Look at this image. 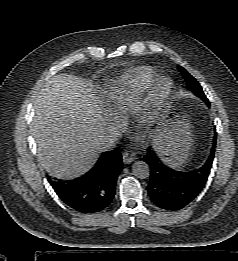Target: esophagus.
I'll list each match as a JSON object with an SVG mask.
<instances>
[{
  "instance_id": "esophagus-1",
  "label": "esophagus",
  "mask_w": 238,
  "mask_h": 261,
  "mask_svg": "<svg viewBox=\"0 0 238 261\" xmlns=\"http://www.w3.org/2000/svg\"><path fill=\"white\" fill-rule=\"evenodd\" d=\"M136 159V155L134 152H128V151H124L123 152V162L125 164H129L131 162H133Z\"/></svg>"
}]
</instances>
